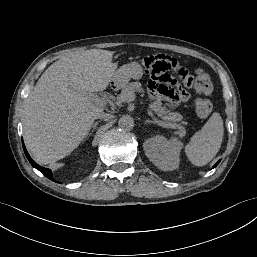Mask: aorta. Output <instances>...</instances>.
Wrapping results in <instances>:
<instances>
[{"mask_svg": "<svg viewBox=\"0 0 257 257\" xmlns=\"http://www.w3.org/2000/svg\"><path fill=\"white\" fill-rule=\"evenodd\" d=\"M118 125L122 129L131 130L134 127V120L130 115H123L119 119Z\"/></svg>", "mask_w": 257, "mask_h": 257, "instance_id": "obj_1", "label": "aorta"}]
</instances>
